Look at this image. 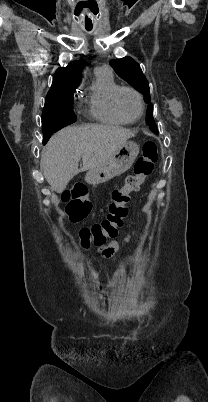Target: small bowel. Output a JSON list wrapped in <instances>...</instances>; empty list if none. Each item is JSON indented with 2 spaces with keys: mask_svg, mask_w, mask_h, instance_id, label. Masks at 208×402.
<instances>
[{
  "mask_svg": "<svg viewBox=\"0 0 208 402\" xmlns=\"http://www.w3.org/2000/svg\"><path fill=\"white\" fill-rule=\"evenodd\" d=\"M130 238H131V235H128L125 237L122 244L110 243L109 245L105 246L104 248H96L95 252L102 253L103 256H105L107 259L110 260L113 258V256H114L113 254H117L118 250L122 249L124 247L125 243L130 240ZM87 263L91 264L92 260L88 259ZM97 294L101 297L105 295V290L100 283H98V285H97Z\"/></svg>",
  "mask_w": 208,
  "mask_h": 402,
  "instance_id": "obj_1",
  "label": "small bowel"
}]
</instances>
